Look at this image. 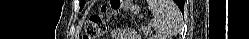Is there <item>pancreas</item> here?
<instances>
[{
    "label": "pancreas",
    "mask_w": 249,
    "mask_h": 39,
    "mask_svg": "<svg viewBox=\"0 0 249 39\" xmlns=\"http://www.w3.org/2000/svg\"><path fill=\"white\" fill-rule=\"evenodd\" d=\"M143 32H144V34H146V33H147V30H146V29H143Z\"/></svg>",
    "instance_id": "pancreas-1"
}]
</instances>
